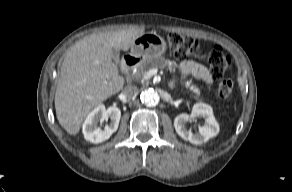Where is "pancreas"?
<instances>
[{
	"instance_id": "cf45deb5",
	"label": "pancreas",
	"mask_w": 292,
	"mask_h": 192,
	"mask_svg": "<svg viewBox=\"0 0 292 192\" xmlns=\"http://www.w3.org/2000/svg\"><path fill=\"white\" fill-rule=\"evenodd\" d=\"M167 67V69L170 71V72H175L176 70V63L175 62H172L170 60H166L165 58L163 57H160V58H157V59H154V60H151V61H144L142 62L138 68H137V71L135 72L134 76L137 80H141L144 76V74L151 70V69H155V68H165ZM183 85L190 89L193 93H195L197 96L200 95V90L198 87H196L195 85H192L191 84V81H185L183 82Z\"/></svg>"
}]
</instances>
